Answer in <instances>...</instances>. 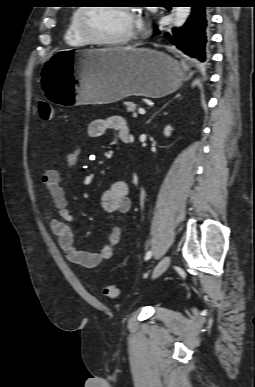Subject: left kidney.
I'll return each instance as SVG.
<instances>
[{"instance_id": "obj_1", "label": "left kidney", "mask_w": 255, "mask_h": 387, "mask_svg": "<svg viewBox=\"0 0 255 387\" xmlns=\"http://www.w3.org/2000/svg\"><path fill=\"white\" fill-rule=\"evenodd\" d=\"M171 131H172V127L171 126H166L165 129H164V135L166 137H169L171 135Z\"/></svg>"}]
</instances>
